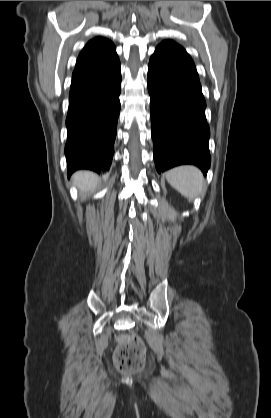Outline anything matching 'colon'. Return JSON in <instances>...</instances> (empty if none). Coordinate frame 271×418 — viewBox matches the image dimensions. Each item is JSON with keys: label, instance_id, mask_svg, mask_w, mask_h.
Wrapping results in <instances>:
<instances>
[{"label": "colon", "instance_id": "colon-1", "mask_svg": "<svg viewBox=\"0 0 271 418\" xmlns=\"http://www.w3.org/2000/svg\"><path fill=\"white\" fill-rule=\"evenodd\" d=\"M145 348L142 341L134 336H125L114 354L116 367L122 372H134L144 365Z\"/></svg>", "mask_w": 271, "mask_h": 418}]
</instances>
